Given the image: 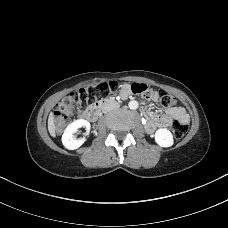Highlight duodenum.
<instances>
[{
    "mask_svg": "<svg viewBox=\"0 0 228 228\" xmlns=\"http://www.w3.org/2000/svg\"><path fill=\"white\" fill-rule=\"evenodd\" d=\"M114 106H118V102L114 99H104L99 101L98 103L88 107L84 113L83 116L85 119L88 120H96L98 119V117L101 115L102 110L106 107H114ZM147 122H146V127L148 128V130L153 131L156 127H158L160 125L159 120L157 119V117L149 115L146 117Z\"/></svg>",
    "mask_w": 228,
    "mask_h": 228,
    "instance_id": "1",
    "label": "duodenum"
}]
</instances>
